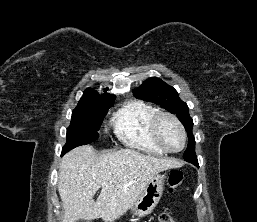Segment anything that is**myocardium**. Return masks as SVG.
Masks as SVG:
<instances>
[{
	"mask_svg": "<svg viewBox=\"0 0 257 222\" xmlns=\"http://www.w3.org/2000/svg\"><path fill=\"white\" fill-rule=\"evenodd\" d=\"M163 119H170L177 125V127L181 131L183 142H182V146L177 150L169 149L163 143V141L159 135V125ZM151 134H152V137H153L154 141L156 142V144L167 153H178L185 148L186 143H187V133H186V130H185L183 124L174 114H171L169 112H159L154 117L152 124H151Z\"/></svg>",
	"mask_w": 257,
	"mask_h": 222,
	"instance_id": "1",
	"label": "myocardium"
}]
</instances>
